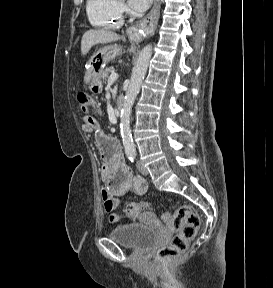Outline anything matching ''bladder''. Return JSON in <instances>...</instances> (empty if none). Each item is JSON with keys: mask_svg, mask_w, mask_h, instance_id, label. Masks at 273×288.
<instances>
[{"mask_svg": "<svg viewBox=\"0 0 273 288\" xmlns=\"http://www.w3.org/2000/svg\"><path fill=\"white\" fill-rule=\"evenodd\" d=\"M110 237L124 247L144 252L157 243L159 232L154 227H147L139 223H130L115 227L111 231Z\"/></svg>", "mask_w": 273, "mask_h": 288, "instance_id": "obj_1", "label": "bladder"}]
</instances>
